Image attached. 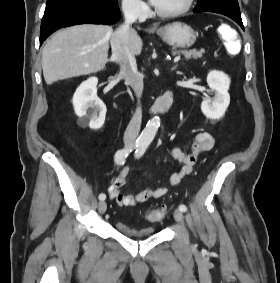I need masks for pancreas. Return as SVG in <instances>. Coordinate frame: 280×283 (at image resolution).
I'll return each instance as SVG.
<instances>
[{"label": "pancreas", "instance_id": "obj_1", "mask_svg": "<svg viewBox=\"0 0 280 283\" xmlns=\"http://www.w3.org/2000/svg\"><path fill=\"white\" fill-rule=\"evenodd\" d=\"M205 53L204 49L201 50H190V51H174L173 54H183L186 59H198L201 58Z\"/></svg>", "mask_w": 280, "mask_h": 283}]
</instances>
